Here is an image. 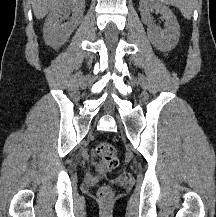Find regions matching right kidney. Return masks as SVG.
I'll return each mask as SVG.
<instances>
[{"instance_id": "obj_1", "label": "right kidney", "mask_w": 216, "mask_h": 217, "mask_svg": "<svg viewBox=\"0 0 216 217\" xmlns=\"http://www.w3.org/2000/svg\"><path fill=\"white\" fill-rule=\"evenodd\" d=\"M85 10V0H60L46 18L43 35L45 43L59 48L66 43L73 30L81 23ZM72 12L67 23H62V14Z\"/></svg>"}]
</instances>
